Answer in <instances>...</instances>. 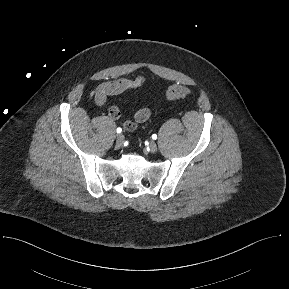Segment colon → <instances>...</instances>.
Listing matches in <instances>:
<instances>
[{
	"label": "colon",
	"instance_id": "obj_1",
	"mask_svg": "<svg viewBox=\"0 0 289 289\" xmlns=\"http://www.w3.org/2000/svg\"><path fill=\"white\" fill-rule=\"evenodd\" d=\"M190 92V89L186 86L173 85L167 90L166 96L169 100H178L188 96Z\"/></svg>",
	"mask_w": 289,
	"mask_h": 289
}]
</instances>
